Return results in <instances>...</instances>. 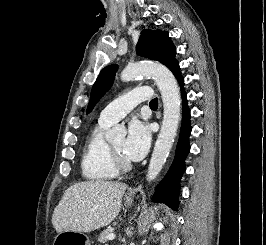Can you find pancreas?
<instances>
[{"instance_id": "pancreas-1", "label": "pancreas", "mask_w": 266, "mask_h": 245, "mask_svg": "<svg viewBox=\"0 0 266 245\" xmlns=\"http://www.w3.org/2000/svg\"><path fill=\"white\" fill-rule=\"evenodd\" d=\"M112 233L113 229H105V231H102L98 237L99 243H107L108 239H106V237H108V235H112Z\"/></svg>"}]
</instances>
